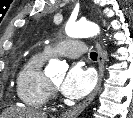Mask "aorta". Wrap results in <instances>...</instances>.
Listing matches in <instances>:
<instances>
[{"mask_svg":"<svg viewBox=\"0 0 133 118\" xmlns=\"http://www.w3.org/2000/svg\"><path fill=\"white\" fill-rule=\"evenodd\" d=\"M100 32L99 27L92 22H75L67 24L66 34L72 38H85L97 35ZM68 66L66 63L57 59H51L46 73L50 75L60 74L66 72Z\"/></svg>","mask_w":133,"mask_h":118,"instance_id":"obj_1","label":"aorta"}]
</instances>
